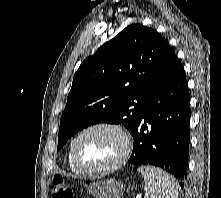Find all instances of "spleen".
I'll return each instance as SVG.
<instances>
[{
  "mask_svg": "<svg viewBox=\"0 0 221 198\" xmlns=\"http://www.w3.org/2000/svg\"><path fill=\"white\" fill-rule=\"evenodd\" d=\"M144 177L147 198H178L176 183L165 171L153 166H140Z\"/></svg>",
  "mask_w": 221,
  "mask_h": 198,
  "instance_id": "spleen-1",
  "label": "spleen"
}]
</instances>
